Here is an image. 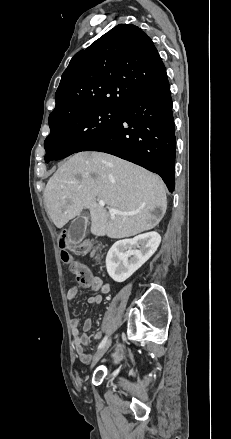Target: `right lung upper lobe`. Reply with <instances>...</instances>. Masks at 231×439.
<instances>
[{
	"label": "right lung upper lobe",
	"instance_id": "right-lung-upper-lobe-1",
	"mask_svg": "<svg viewBox=\"0 0 231 439\" xmlns=\"http://www.w3.org/2000/svg\"><path fill=\"white\" fill-rule=\"evenodd\" d=\"M167 82L151 38L135 25L120 24L71 59L49 120L95 107L122 110L136 96Z\"/></svg>",
	"mask_w": 231,
	"mask_h": 439
}]
</instances>
